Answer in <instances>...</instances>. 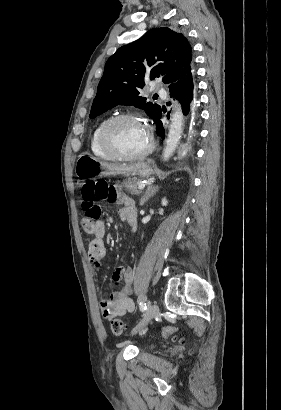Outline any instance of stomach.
Wrapping results in <instances>:
<instances>
[{
  "label": "stomach",
  "instance_id": "obj_1",
  "mask_svg": "<svg viewBox=\"0 0 281 410\" xmlns=\"http://www.w3.org/2000/svg\"><path fill=\"white\" fill-rule=\"evenodd\" d=\"M75 174L83 180L93 176L111 175L150 177L153 174V169L145 161L116 165L104 162L92 155L81 154L75 164Z\"/></svg>",
  "mask_w": 281,
  "mask_h": 410
}]
</instances>
